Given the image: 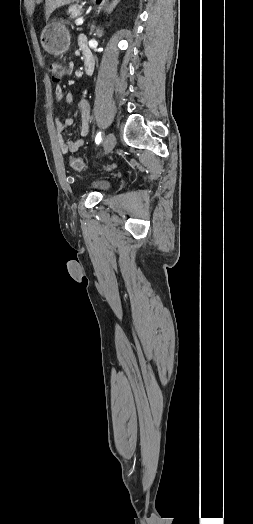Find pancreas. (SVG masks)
<instances>
[{"mask_svg": "<svg viewBox=\"0 0 253 524\" xmlns=\"http://www.w3.org/2000/svg\"><path fill=\"white\" fill-rule=\"evenodd\" d=\"M82 11H83L82 5H78V4L71 5L68 9V15L71 19H75L82 14Z\"/></svg>", "mask_w": 253, "mask_h": 524, "instance_id": "pancreas-1", "label": "pancreas"}]
</instances>
